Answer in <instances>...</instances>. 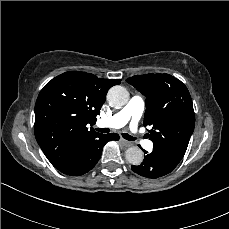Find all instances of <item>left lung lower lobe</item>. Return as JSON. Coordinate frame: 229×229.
Listing matches in <instances>:
<instances>
[{
    "mask_svg": "<svg viewBox=\"0 0 229 229\" xmlns=\"http://www.w3.org/2000/svg\"><path fill=\"white\" fill-rule=\"evenodd\" d=\"M146 154L144 156L143 162L138 166H131V169L146 178L156 179L160 178L162 176L167 175L172 170L163 167L153 156L152 154H147L146 151H144Z\"/></svg>",
    "mask_w": 229,
    "mask_h": 229,
    "instance_id": "obj_1",
    "label": "left lung lower lobe"
}]
</instances>
